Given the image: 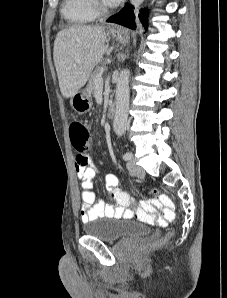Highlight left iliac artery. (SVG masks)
Masks as SVG:
<instances>
[{
    "instance_id": "obj_1",
    "label": "left iliac artery",
    "mask_w": 227,
    "mask_h": 298,
    "mask_svg": "<svg viewBox=\"0 0 227 298\" xmlns=\"http://www.w3.org/2000/svg\"><path fill=\"white\" fill-rule=\"evenodd\" d=\"M132 158V153L131 152H126L124 155H123V159L124 160H130Z\"/></svg>"
}]
</instances>
